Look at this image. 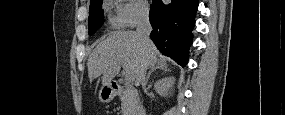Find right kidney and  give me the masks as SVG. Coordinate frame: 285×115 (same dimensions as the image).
<instances>
[{
	"instance_id": "1",
	"label": "right kidney",
	"mask_w": 285,
	"mask_h": 115,
	"mask_svg": "<svg viewBox=\"0 0 285 115\" xmlns=\"http://www.w3.org/2000/svg\"><path fill=\"white\" fill-rule=\"evenodd\" d=\"M174 81H175L174 77L163 78L158 82H156L155 90L159 95L166 97L170 94L169 91L172 89Z\"/></svg>"
}]
</instances>
